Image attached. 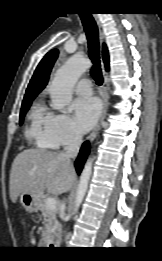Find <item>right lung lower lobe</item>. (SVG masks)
I'll return each instance as SVG.
<instances>
[{
  "label": "right lung lower lobe",
  "instance_id": "right-lung-lower-lobe-1",
  "mask_svg": "<svg viewBox=\"0 0 162 261\" xmlns=\"http://www.w3.org/2000/svg\"><path fill=\"white\" fill-rule=\"evenodd\" d=\"M88 153H89V143L85 142L83 144V146L80 150V154L75 162V167H76L78 174H80V172L82 171V168L86 161Z\"/></svg>",
  "mask_w": 162,
  "mask_h": 261
}]
</instances>
